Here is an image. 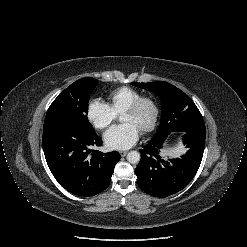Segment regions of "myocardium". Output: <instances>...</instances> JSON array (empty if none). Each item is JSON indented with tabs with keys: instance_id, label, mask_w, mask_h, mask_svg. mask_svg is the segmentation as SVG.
Wrapping results in <instances>:
<instances>
[{
	"instance_id": "myocardium-1",
	"label": "myocardium",
	"mask_w": 247,
	"mask_h": 247,
	"mask_svg": "<svg viewBox=\"0 0 247 247\" xmlns=\"http://www.w3.org/2000/svg\"><path fill=\"white\" fill-rule=\"evenodd\" d=\"M145 103H150L153 107V116L150 120V122L144 126L141 131L143 133H149L153 131L159 121L160 118V105L158 100L151 95H142L139 98H137L135 101H133L130 105H128L123 112H137L140 110V108L145 104Z\"/></svg>"
}]
</instances>
